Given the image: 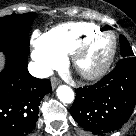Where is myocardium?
Returning <instances> with one entry per match:
<instances>
[{"mask_svg": "<svg viewBox=\"0 0 136 136\" xmlns=\"http://www.w3.org/2000/svg\"><path fill=\"white\" fill-rule=\"evenodd\" d=\"M109 34L112 37V48L111 51L106 58V60L97 68L90 70V71H84L80 68L79 63L81 59L85 56V54L89 51L93 43L102 35ZM118 49V41L117 37L114 32L110 30H100L98 32L93 33L92 35L88 36L86 39H84L79 46L73 51L71 54V66L74 69V71L83 79L85 80H96L104 76L108 70L111 68Z\"/></svg>", "mask_w": 136, "mask_h": 136, "instance_id": "obj_1", "label": "myocardium"}]
</instances>
